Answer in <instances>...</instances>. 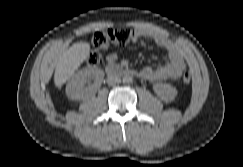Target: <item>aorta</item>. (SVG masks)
Segmentation results:
<instances>
[{"instance_id":"aorta-1","label":"aorta","mask_w":243,"mask_h":167,"mask_svg":"<svg viewBox=\"0 0 243 167\" xmlns=\"http://www.w3.org/2000/svg\"><path fill=\"white\" fill-rule=\"evenodd\" d=\"M122 81H123V83L130 84V83L133 82V77H132V75L126 73V74H124V76L122 77Z\"/></svg>"}]
</instances>
